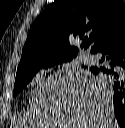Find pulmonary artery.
<instances>
[{"label":"pulmonary artery","mask_w":125,"mask_h":128,"mask_svg":"<svg viewBox=\"0 0 125 128\" xmlns=\"http://www.w3.org/2000/svg\"><path fill=\"white\" fill-rule=\"evenodd\" d=\"M81 59H82V61H83L84 63H90V62H92V57H91L90 55H83V56L81 57Z\"/></svg>","instance_id":"pulmonary-artery-1"}]
</instances>
